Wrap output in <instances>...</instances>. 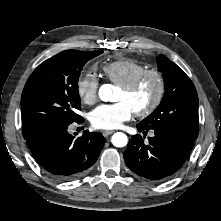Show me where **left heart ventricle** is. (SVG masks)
<instances>
[{"label": "left heart ventricle", "instance_id": "1", "mask_svg": "<svg viewBox=\"0 0 221 221\" xmlns=\"http://www.w3.org/2000/svg\"><path fill=\"white\" fill-rule=\"evenodd\" d=\"M155 92L156 81L154 78L148 77L133 91H124L119 88L115 94V101H125L136 111L149 105Z\"/></svg>", "mask_w": 221, "mask_h": 221}]
</instances>
